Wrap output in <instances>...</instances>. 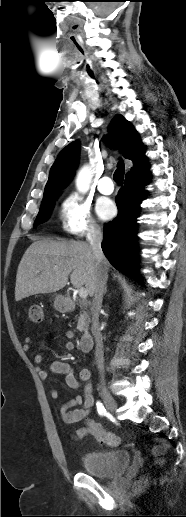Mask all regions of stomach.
I'll return each mask as SVG.
<instances>
[{
    "label": "stomach",
    "instance_id": "stomach-1",
    "mask_svg": "<svg viewBox=\"0 0 186 517\" xmlns=\"http://www.w3.org/2000/svg\"><path fill=\"white\" fill-rule=\"evenodd\" d=\"M54 306L57 310L63 311L65 309V302L62 295H56L54 298Z\"/></svg>",
    "mask_w": 186,
    "mask_h": 517
}]
</instances>
